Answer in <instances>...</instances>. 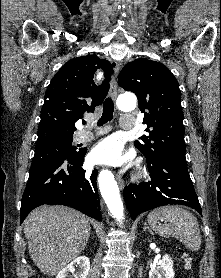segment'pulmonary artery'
Returning <instances> with one entry per match:
<instances>
[{
	"label": "pulmonary artery",
	"mask_w": 221,
	"mask_h": 278,
	"mask_svg": "<svg viewBox=\"0 0 221 278\" xmlns=\"http://www.w3.org/2000/svg\"><path fill=\"white\" fill-rule=\"evenodd\" d=\"M134 123L135 118L132 115H124L121 119V125L124 129H132L134 127ZM106 131L107 129H100L94 133L88 129H84L77 133L76 140L78 142H87L92 140L96 135L102 134Z\"/></svg>",
	"instance_id": "pulmonary-artery-1"
}]
</instances>
